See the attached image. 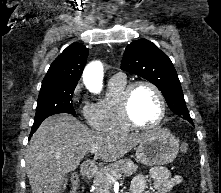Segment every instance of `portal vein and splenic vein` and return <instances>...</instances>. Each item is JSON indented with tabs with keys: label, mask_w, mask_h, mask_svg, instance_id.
Instances as JSON below:
<instances>
[{
	"label": "portal vein and splenic vein",
	"mask_w": 221,
	"mask_h": 193,
	"mask_svg": "<svg viewBox=\"0 0 221 193\" xmlns=\"http://www.w3.org/2000/svg\"><path fill=\"white\" fill-rule=\"evenodd\" d=\"M98 151V149L97 148H91V150H90V153L91 154H94V153H96ZM107 177H108V179L110 180V181H115V179L113 178V176H111V175H107Z\"/></svg>",
	"instance_id": "1"
}]
</instances>
